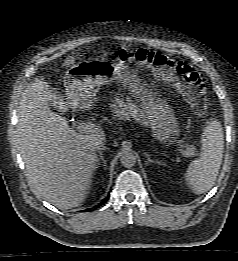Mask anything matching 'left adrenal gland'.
I'll return each mask as SVG.
<instances>
[{
    "label": "left adrenal gland",
    "instance_id": "1",
    "mask_svg": "<svg viewBox=\"0 0 238 261\" xmlns=\"http://www.w3.org/2000/svg\"><path fill=\"white\" fill-rule=\"evenodd\" d=\"M144 154L147 157L146 165H149V163H159L157 160H152L148 153H144Z\"/></svg>",
    "mask_w": 238,
    "mask_h": 261
}]
</instances>
